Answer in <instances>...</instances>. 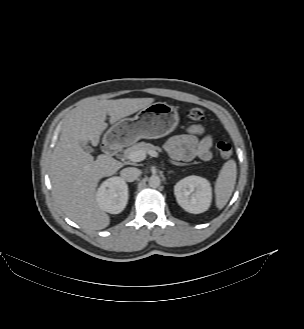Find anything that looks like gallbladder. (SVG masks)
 <instances>
[{
  "label": "gallbladder",
  "instance_id": "bac80fb5",
  "mask_svg": "<svg viewBox=\"0 0 304 329\" xmlns=\"http://www.w3.org/2000/svg\"><path fill=\"white\" fill-rule=\"evenodd\" d=\"M81 145L86 152L88 153L94 152V149L91 146H88L87 142L82 141Z\"/></svg>",
  "mask_w": 304,
  "mask_h": 329
}]
</instances>
